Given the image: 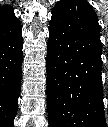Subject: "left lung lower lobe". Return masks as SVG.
I'll use <instances>...</instances> for the list:
<instances>
[{
  "label": "left lung lower lobe",
  "instance_id": "left-lung-lower-lobe-1",
  "mask_svg": "<svg viewBox=\"0 0 108 127\" xmlns=\"http://www.w3.org/2000/svg\"><path fill=\"white\" fill-rule=\"evenodd\" d=\"M98 18L85 0H60L47 46L49 127H106Z\"/></svg>",
  "mask_w": 108,
  "mask_h": 127
}]
</instances>
